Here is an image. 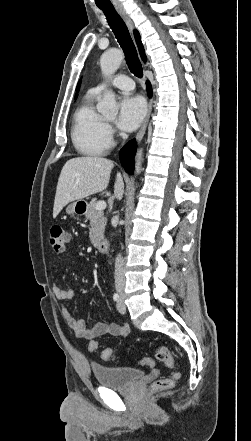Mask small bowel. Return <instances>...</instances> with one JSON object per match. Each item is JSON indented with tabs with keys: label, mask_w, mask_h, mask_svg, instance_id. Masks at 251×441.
I'll list each match as a JSON object with an SVG mask.
<instances>
[{
	"label": "small bowel",
	"mask_w": 251,
	"mask_h": 441,
	"mask_svg": "<svg viewBox=\"0 0 251 441\" xmlns=\"http://www.w3.org/2000/svg\"><path fill=\"white\" fill-rule=\"evenodd\" d=\"M53 293L60 301L71 300L75 294L72 288L64 289L58 285L53 287ZM61 314L66 324L74 331V333L78 337L86 340H92L102 335L126 337L129 334V326L126 324L118 325L114 323L99 322L93 327L88 328L86 327L84 320L77 319L67 306L61 307Z\"/></svg>",
	"instance_id": "obj_1"
}]
</instances>
